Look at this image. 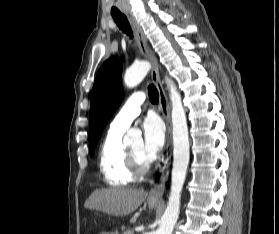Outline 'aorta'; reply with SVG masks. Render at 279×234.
<instances>
[{
    "mask_svg": "<svg viewBox=\"0 0 279 234\" xmlns=\"http://www.w3.org/2000/svg\"><path fill=\"white\" fill-rule=\"evenodd\" d=\"M150 68L151 64L147 61L133 64L125 73V85L129 88L137 86L145 78ZM166 83L169 87L172 104L173 168L169 200L161 218V224L155 234H172L179 217L181 191L185 182L190 157L187 120L181 95L171 79L166 78ZM138 135H140L139 130H129L124 137V143H131L132 138Z\"/></svg>",
    "mask_w": 279,
    "mask_h": 234,
    "instance_id": "aorta-1",
    "label": "aorta"
}]
</instances>
